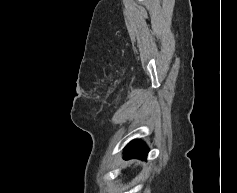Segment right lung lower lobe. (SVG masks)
I'll list each match as a JSON object with an SVG mask.
<instances>
[{
  "instance_id": "obj_1",
  "label": "right lung lower lobe",
  "mask_w": 237,
  "mask_h": 193,
  "mask_svg": "<svg viewBox=\"0 0 237 193\" xmlns=\"http://www.w3.org/2000/svg\"><path fill=\"white\" fill-rule=\"evenodd\" d=\"M148 148L140 140L129 143L125 149V159L144 158L146 159Z\"/></svg>"
}]
</instances>
